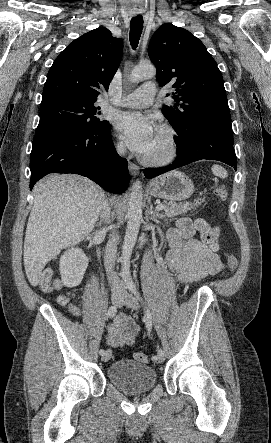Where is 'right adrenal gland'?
I'll use <instances>...</instances> for the list:
<instances>
[{"instance_id": "right-adrenal-gland-1", "label": "right adrenal gland", "mask_w": 271, "mask_h": 443, "mask_svg": "<svg viewBox=\"0 0 271 443\" xmlns=\"http://www.w3.org/2000/svg\"><path fill=\"white\" fill-rule=\"evenodd\" d=\"M103 220H101V222H97V223H95V227H96V225H99V227H100V225H103Z\"/></svg>"}]
</instances>
